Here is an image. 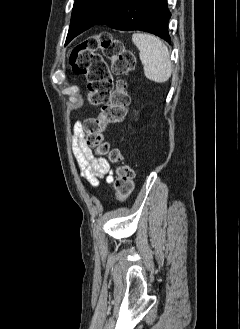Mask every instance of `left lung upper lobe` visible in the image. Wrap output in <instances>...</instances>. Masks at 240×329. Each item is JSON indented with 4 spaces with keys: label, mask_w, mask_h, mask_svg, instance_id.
<instances>
[{
    "label": "left lung upper lobe",
    "mask_w": 240,
    "mask_h": 329,
    "mask_svg": "<svg viewBox=\"0 0 240 329\" xmlns=\"http://www.w3.org/2000/svg\"><path fill=\"white\" fill-rule=\"evenodd\" d=\"M119 1L75 0L65 45L100 21Z\"/></svg>",
    "instance_id": "obj_1"
}]
</instances>
